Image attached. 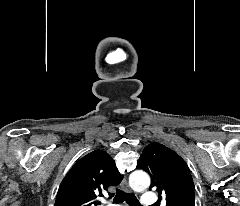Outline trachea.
Returning a JSON list of instances; mask_svg holds the SVG:
<instances>
[{
  "label": "trachea",
  "mask_w": 240,
  "mask_h": 206,
  "mask_svg": "<svg viewBox=\"0 0 240 206\" xmlns=\"http://www.w3.org/2000/svg\"><path fill=\"white\" fill-rule=\"evenodd\" d=\"M124 201H126L130 206H140L138 199L133 194H128L120 189H117L114 202L122 203Z\"/></svg>",
  "instance_id": "1"
}]
</instances>
